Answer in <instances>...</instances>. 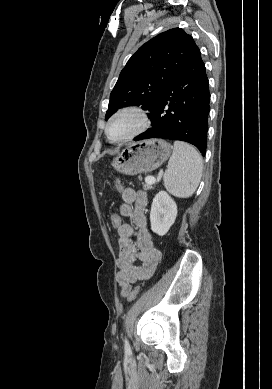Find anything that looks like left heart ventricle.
I'll list each match as a JSON object with an SVG mask.
<instances>
[{
	"label": "left heart ventricle",
	"instance_id": "b2bd125f",
	"mask_svg": "<svg viewBox=\"0 0 272 389\" xmlns=\"http://www.w3.org/2000/svg\"><path fill=\"white\" fill-rule=\"evenodd\" d=\"M138 119L132 114H125L113 121L110 127L112 139H120L131 133L137 126Z\"/></svg>",
	"mask_w": 272,
	"mask_h": 389
}]
</instances>
